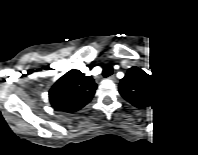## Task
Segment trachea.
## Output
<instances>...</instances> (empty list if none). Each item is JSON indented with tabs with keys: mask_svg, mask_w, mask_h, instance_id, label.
<instances>
[{
	"mask_svg": "<svg viewBox=\"0 0 198 155\" xmlns=\"http://www.w3.org/2000/svg\"><path fill=\"white\" fill-rule=\"evenodd\" d=\"M111 74H112V68H111V66H109V65L105 66L104 71H103V76L104 77H108Z\"/></svg>",
	"mask_w": 198,
	"mask_h": 155,
	"instance_id": "obj_1",
	"label": "trachea"
}]
</instances>
